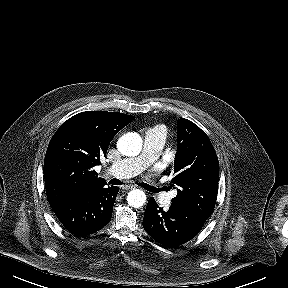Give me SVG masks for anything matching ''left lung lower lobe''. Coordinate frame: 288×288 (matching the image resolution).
<instances>
[{
    "instance_id": "1",
    "label": "left lung lower lobe",
    "mask_w": 288,
    "mask_h": 288,
    "mask_svg": "<svg viewBox=\"0 0 288 288\" xmlns=\"http://www.w3.org/2000/svg\"><path fill=\"white\" fill-rule=\"evenodd\" d=\"M206 220L204 217L174 205L164 211L151 197L146 206L143 227L157 242L174 248L194 238Z\"/></svg>"
}]
</instances>
